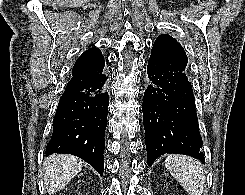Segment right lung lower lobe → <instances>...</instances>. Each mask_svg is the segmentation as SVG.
I'll return each instance as SVG.
<instances>
[{
	"mask_svg": "<svg viewBox=\"0 0 245 195\" xmlns=\"http://www.w3.org/2000/svg\"><path fill=\"white\" fill-rule=\"evenodd\" d=\"M103 67L73 74L60 98L46 156L68 153L89 163L103 176L109 96Z\"/></svg>",
	"mask_w": 245,
	"mask_h": 195,
	"instance_id": "right-lung-lower-lobe-1",
	"label": "right lung lower lobe"
}]
</instances>
